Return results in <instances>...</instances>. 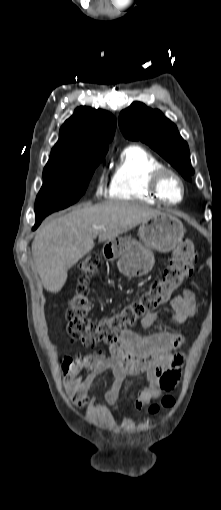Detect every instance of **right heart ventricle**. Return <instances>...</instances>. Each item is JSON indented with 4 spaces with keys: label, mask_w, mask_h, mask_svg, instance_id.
<instances>
[{
    "label": "right heart ventricle",
    "mask_w": 221,
    "mask_h": 510,
    "mask_svg": "<svg viewBox=\"0 0 221 510\" xmlns=\"http://www.w3.org/2000/svg\"><path fill=\"white\" fill-rule=\"evenodd\" d=\"M161 167H164L163 162L146 148L137 144L126 146L112 170L108 198L156 203L148 182L150 174Z\"/></svg>",
    "instance_id": "e07e8e85"
}]
</instances>
